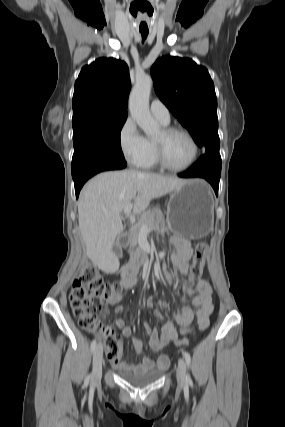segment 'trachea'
<instances>
[{
    "label": "trachea",
    "mask_w": 285,
    "mask_h": 427,
    "mask_svg": "<svg viewBox=\"0 0 285 427\" xmlns=\"http://www.w3.org/2000/svg\"><path fill=\"white\" fill-rule=\"evenodd\" d=\"M141 35H142L143 39H145L148 35V31H141Z\"/></svg>",
    "instance_id": "obj_1"
}]
</instances>
